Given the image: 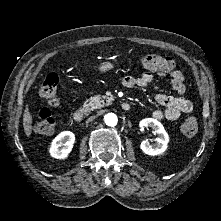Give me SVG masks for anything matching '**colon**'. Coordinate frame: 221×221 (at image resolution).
Returning <instances> with one entry per match:
<instances>
[{
	"instance_id": "5ec220e1",
	"label": "colon",
	"mask_w": 221,
	"mask_h": 221,
	"mask_svg": "<svg viewBox=\"0 0 221 221\" xmlns=\"http://www.w3.org/2000/svg\"><path fill=\"white\" fill-rule=\"evenodd\" d=\"M142 67L150 73L166 74L173 70L174 62L171 58L151 54L142 59ZM59 78L56 73L48 74L40 87V95L45 98L49 105L57 107L60 104L58 98ZM56 122L50 111L42 110L35 122L34 128L39 135H51L55 130ZM198 121L195 117H187L181 124V131L187 137L194 136L198 131Z\"/></svg>"
}]
</instances>
